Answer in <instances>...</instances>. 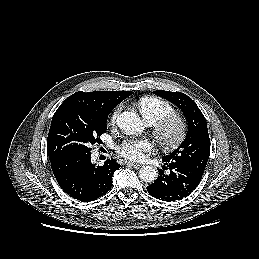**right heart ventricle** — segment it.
I'll return each instance as SVG.
<instances>
[{
	"mask_svg": "<svg viewBox=\"0 0 259 259\" xmlns=\"http://www.w3.org/2000/svg\"><path fill=\"white\" fill-rule=\"evenodd\" d=\"M138 109L149 125H153L161 117L174 113V107L166 100L155 96H144L137 102Z\"/></svg>",
	"mask_w": 259,
	"mask_h": 259,
	"instance_id": "obj_1",
	"label": "right heart ventricle"
}]
</instances>
